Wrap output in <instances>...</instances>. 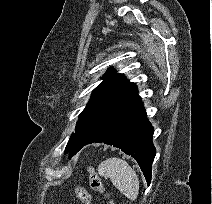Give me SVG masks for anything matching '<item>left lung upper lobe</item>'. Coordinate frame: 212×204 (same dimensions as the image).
Instances as JSON below:
<instances>
[{
    "instance_id": "obj_1",
    "label": "left lung upper lobe",
    "mask_w": 212,
    "mask_h": 204,
    "mask_svg": "<svg viewBox=\"0 0 212 204\" xmlns=\"http://www.w3.org/2000/svg\"><path fill=\"white\" fill-rule=\"evenodd\" d=\"M104 81L92 93L89 103L79 116L75 133L68 141L65 154L71 150L75 138L99 121L118 104L136 92V85L128 82L121 74L108 71L104 75Z\"/></svg>"
}]
</instances>
